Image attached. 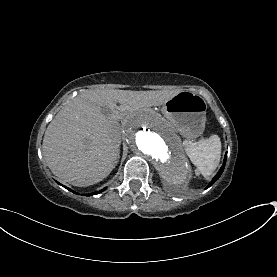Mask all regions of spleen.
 Returning <instances> with one entry per match:
<instances>
[{"mask_svg": "<svg viewBox=\"0 0 277 277\" xmlns=\"http://www.w3.org/2000/svg\"><path fill=\"white\" fill-rule=\"evenodd\" d=\"M186 154L204 177L211 175L219 165L221 141L218 135L201 139L197 144L191 141L183 143Z\"/></svg>", "mask_w": 277, "mask_h": 277, "instance_id": "obj_1", "label": "spleen"}]
</instances>
